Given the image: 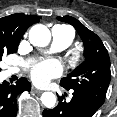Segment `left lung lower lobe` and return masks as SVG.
<instances>
[{
	"instance_id": "left-lung-lower-lobe-1",
	"label": "left lung lower lobe",
	"mask_w": 117,
	"mask_h": 117,
	"mask_svg": "<svg viewBox=\"0 0 117 117\" xmlns=\"http://www.w3.org/2000/svg\"><path fill=\"white\" fill-rule=\"evenodd\" d=\"M100 107L101 104L88 95L74 91L70 102H65L60 97L58 106L44 110L43 117H92Z\"/></svg>"
}]
</instances>
